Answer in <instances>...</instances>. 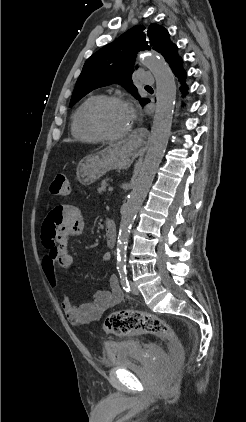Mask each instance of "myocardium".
<instances>
[{
	"instance_id": "myocardium-1",
	"label": "myocardium",
	"mask_w": 246,
	"mask_h": 422,
	"mask_svg": "<svg viewBox=\"0 0 246 422\" xmlns=\"http://www.w3.org/2000/svg\"><path fill=\"white\" fill-rule=\"evenodd\" d=\"M117 103L127 105L126 101L116 95H107L99 97L88 109L86 114V121L91 131L101 140L114 142L125 138L132 130V124L119 134H109L100 125L98 119L99 111L107 104Z\"/></svg>"
}]
</instances>
